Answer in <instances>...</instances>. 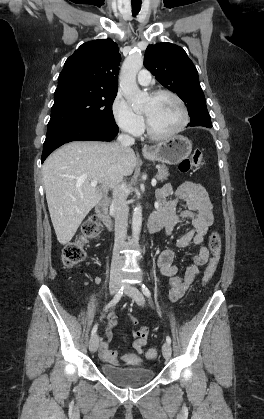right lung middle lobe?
Returning <instances> with one entry per match:
<instances>
[{"label": "right lung middle lobe", "instance_id": "dd1d6c3e", "mask_svg": "<svg viewBox=\"0 0 264 419\" xmlns=\"http://www.w3.org/2000/svg\"><path fill=\"white\" fill-rule=\"evenodd\" d=\"M116 95L117 92L92 90L79 84L58 87L46 136L76 123L114 124L112 104Z\"/></svg>", "mask_w": 264, "mask_h": 419}]
</instances>
